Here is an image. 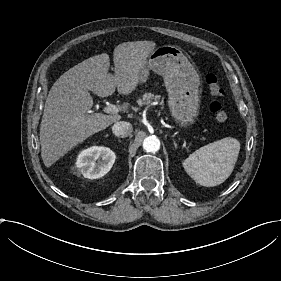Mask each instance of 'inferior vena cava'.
Returning <instances> with one entry per match:
<instances>
[{
    "mask_svg": "<svg viewBox=\"0 0 281 281\" xmlns=\"http://www.w3.org/2000/svg\"><path fill=\"white\" fill-rule=\"evenodd\" d=\"M133 130L132 125L129 122H117L115 125H113L112 131L114 135L118 137H128L131 135Z\"/></svg>",
    "mask_w": 281,
    "mask_h": 281,
    "instance_id": "obj_1",
    "label": "inferior vena cava"
}]
</instances>
